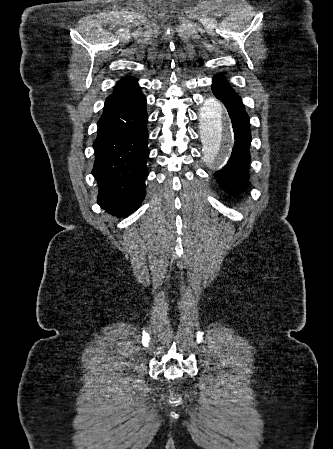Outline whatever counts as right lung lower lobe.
<instances>
[{
	"instance_id": "98d812e1",
	"label": "right lung lower lobe",
	"mask_w": 333,
	"mask_h": 449,
	"mask_svg": "<svg viewBox=\"0 0 333 449\" xmlns=\"http://www.w3.org/2000/svg\"><path fill=\"white\" fill-rule=\"evenodd\" d=\"M147 120L146 98L140 91L104 108L98 121L92 170L98 204L119 217L131 213L145 196Z\"/></svg>"
}]
</instances>
